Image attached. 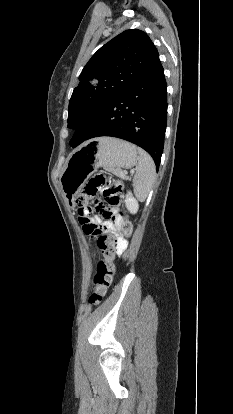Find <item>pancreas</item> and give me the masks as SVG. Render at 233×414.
Returning <instances> with one entry per match:
<instances>
[{"label":"pancreas","mask_w":233,"mask_h":414,"mask_svg":"<svg viewBox=\"0 0 233 414\" xmlns=\"http://www.w3.org/2000/svg\"><path fill=\"white\" fill-rule=\"evenodd\" d=\"M122 171H120V170H118V171H116L115 172V174L117 175V176H119V177H121V178H123V179H126L127 177L125 176V175H122Z\"/></svg>","instance_id":"cf45deb5"}]
</instances>
